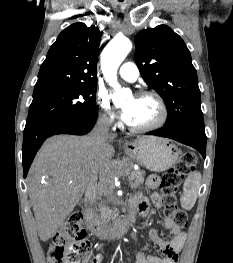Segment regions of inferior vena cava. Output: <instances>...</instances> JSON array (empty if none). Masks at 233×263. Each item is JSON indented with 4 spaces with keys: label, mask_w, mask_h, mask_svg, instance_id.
<instances>
[{
    "label": "inferior vena cava",
    "mask_w": 233,
    "mask_h": 263,
    "mask_svg": "<svg viewBox=\"0 0 233 263\" xmlns=\"http://www.w3.org/2000/svg\"><path fill=\"white\" fill-rule=\"evenodd\" d=\"M112 122L113 120L106 115H103L98 119L91 134L92 141L97 151L102 150L106 146L109 136V127L112 124ZM96 181L92 182L87 189L86 198L89 204L94 203L101 189L102 182L97 184Z\"/></svg>",
    "instance_id": "inferior-vena-cava-1"
}]
</instances>
